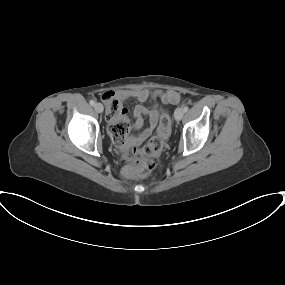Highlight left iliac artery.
Wrapping results in <instances>:
<instances>
[{"label":"left iliac artery","instance_id":"left-iliac-artery-1","mask_svg":"<svg viewBox=\"0 0 285 285\" xmlns=\"http://www.w3.org/2000/svg\"><path fill=\"white\" fill-rule=\"evenodd\" d=\"M183 111H184V112H187V111H188V106H184V107H183Z\"/></svg>","mask_w":285,"mask_h":285}]
</instances>
